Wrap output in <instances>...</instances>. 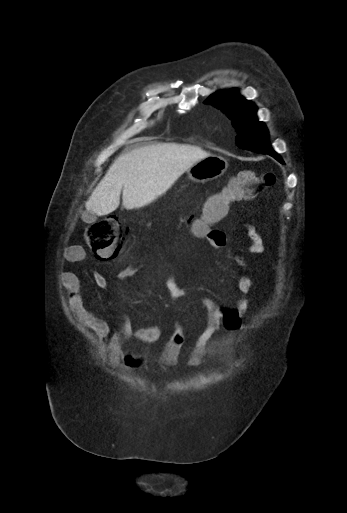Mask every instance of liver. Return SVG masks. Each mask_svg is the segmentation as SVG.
<instances>
[{"label": "liver", "instance_id": "liver-1", "mask_svg": "<svg viewBox=\"0 0 347 513\" xmlns=\"http://www.w3.org/2000/svg\"><path fill=\"white\" fill-rule=\"evenodd\" d=\"M191 145L158 143L120 155L85 204V213L108 215L120 204L128 209L143 207L166 192L195 162L209 156ZM86 222V221H85Z\"/></svg>", "mask_w": 347, "mask_h": 513}]
</instances>
